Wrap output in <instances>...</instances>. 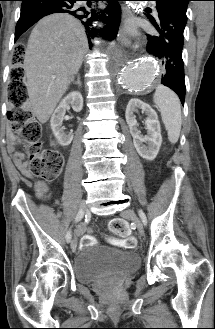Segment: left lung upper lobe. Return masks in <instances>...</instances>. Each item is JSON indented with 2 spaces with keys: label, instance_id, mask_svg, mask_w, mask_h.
Segmentation results:
<instances>
[{
  "label": "left lung upper lobe",
  "instance_id": "left-lung-upper-lobe-1",
  "mask_svg": "<svg viewBox=\"0 0 215 329\" xmlns=\"http://www.w3.org/2000/svg\"><path fill=\"white\" fill-rule=\"evenodd\" d=\"M158 7L164 8L176 15L182 21H187V5L191 0H154Z\"/></svg>",
  "mask_w": 215,
  "mask_h": 329
}]
</instances>
